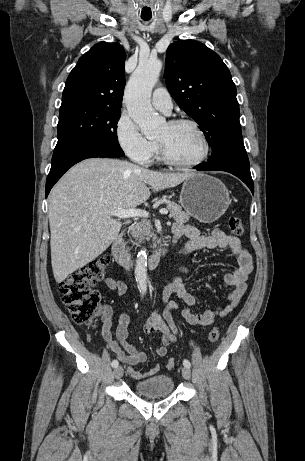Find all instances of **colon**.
Wrapping results in <instances>:
<instances>
[{"instance_id": "1", "label": "colon", "mask_w": 305, "mask_h": 461, "mask_svg": "<svg viewBox=\"0 0 305 461\" xmlns=\"http://www.w3.org/2000/svg\"><path fill=\"white\" fill-rule=\"evenodd\" d=\"M228 224L232 234L243 235L244 227L240 219L231 217ZM109 263L108 256H99L71 273L60 283L59 291L62 301L76 324L84 327L94 325L101 296L99 291L92 286L104 278ZM218 339L219 331L214 328L209 332L208 340L214 343ZM174 367L175 360L169 358L166 361V368L171 370Z\"/></svg>"}]
</instances>
